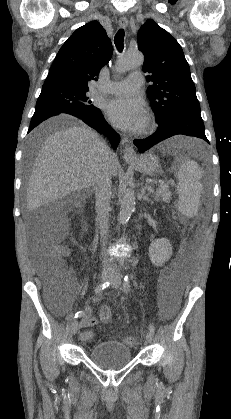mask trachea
Instances as JSON below:
<instances>
[{
	"label": "trachea",
	"instance_id": "trachea-1",
	"mask_svg": "<svg viewBox=\"0 0 231 419\" xmlns=\"http://www.w3.org/2000/svg\"><path fill=\"white\" fill-rule=\"evenodd\" d=\"M124 36H125V32L123 29H120L114 38V43L116 45V48L119 52H121L124 48Z\"/></svg>",
	"mask_w": 231,
	"mask_h": 419
}]
</instances>
